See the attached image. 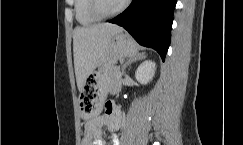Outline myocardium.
Here are the masks:
<instances>
[{
	"label": "myocardium",
	"mask_w": 243,
	"mask_h": 145,
	"mask_svg": "<svg viewBox=\"0 0 243 145\" xmlns=\"http://www.w3.org/2000/svg\"><path fill=\"white\" fill-rule=\"evenodd\" d=\"M89 1H90L89 4L90 12L92 13L93 16H95L98 19H107V18L114 17L122 13L130 3V0H124L122 5L118 9L111 12H105L101 7V0H89Z\"/></svg>",
	"instance_id": "1"
}]
</instances>
